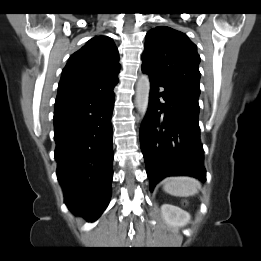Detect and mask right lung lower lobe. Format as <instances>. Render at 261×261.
Masks as SVG:
<instances>
[{
  "label": "right lung lower lobe",
  "instance_id": "right-lung-lower-lobe-1",
  "mask_svg": "<svg viewBox=\"0 0 261 261\" xmlns=\"http://www.w3.org/2000/svg\"><path fill=\"white\" fill-rule=\"evenodd\" d=\"M113 88L55 102L57 178L67 207L90 221L102 214L110 200Z\"/></svg>",
  "mask_w": 261,
  "mask_h": 261
}]
</instances>
